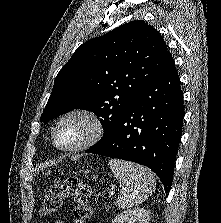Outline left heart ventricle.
Masks as SVG:
<instances>
[{"instance_id":"obj_1","label":"left heart ventricle","mask_w":221,"mask_h":223,"mask_svg":"<svg viewBox=\"0 0 221 223\" xmlns=\"http://www.w3.org/2000/svg\"><path fill=\"white\" fill-rule=\"evenodd\" d=\"M90 130L89 123L80 116L70 117L59 126L56 132L58 144L63 146L81 142Z\"/></svg>"}]
</instances>
